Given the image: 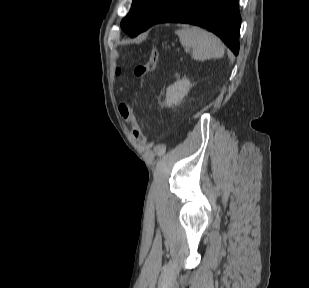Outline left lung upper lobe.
<instances>
[{"mask_svg":"<svg viewBox=\"0 0 309 288\" xmlns=\"http://www.w3.org/2000/svg\"><path fill=\"white\" fill-rule=\"evenodd\" d=\"M163 0H133L128 15L121 21V28L129 35L137 33Z\"/></svg>","mask_w":309,"mask_h":288,"instance_id":"1","label":"left lung upper lobe"}]
</instances>
